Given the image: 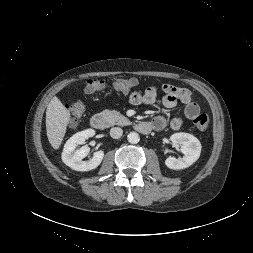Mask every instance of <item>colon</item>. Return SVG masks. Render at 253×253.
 Listing matches in <instances>:
<instances>
[{
  "label": "colon",
  "instance_id": "5ec220e1",
  "mask_svg": "<svg viewBox=\"0 0 253 253\" xmlns=\"http://www.w3.org/2000/svg\"><path fill=\"white\" fill-rule=\"evenodd\" d=\"M137 85L135 78L117 79L113 82V88L120 93H127ZM105 82L98 78H89L86 81L85 92L92 94L104 89ZM67 109L70 114V121L75 124L84 114L85 106L82 102L68 104ZM194 124L199 130H206L209 127V117L206 114H200L194 118Z\"/></svg>",
  "mask_w": 253,
  "mask_h": 253
}]
</instances>
